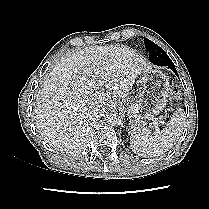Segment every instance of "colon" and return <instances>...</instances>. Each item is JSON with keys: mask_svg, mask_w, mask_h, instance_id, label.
Returning <instances> with one entry per match:
<instances>
[{"mask_svg": "<svg viewBox=\"0 0 209 209\" xmlns=\"http://www.w3.org/2000/svg\"><path fill=\"white\" fill-rule=\"evenodd\" d=\"M171 94H172L173 98H178L180 92H179V90L177 88H174Z\"/></svg>", "mask_w": 209, "mask_h": 209, "instance_id": "obj_1", "label": "colon"}]
</instances>
